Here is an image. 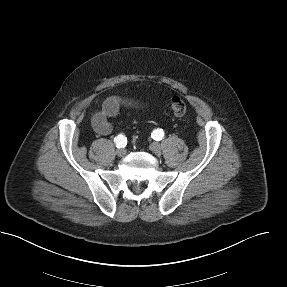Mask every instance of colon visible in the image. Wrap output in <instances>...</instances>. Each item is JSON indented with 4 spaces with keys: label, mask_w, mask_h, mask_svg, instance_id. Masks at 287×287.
Returning a JSON list of instances; mask_svg holds the SVG:
<instances>
[{
    "label": "colon",
    "mask_w": 287,
    "mask_h": 287,
    "mask_svg": "<svg viewBox=\"0 0 287 287\" xmlns=\"http://www.w3.org/2000/svg\"><path fill=\"white\" fill-rule=\"evenodd\" d=\"M169 108L176 116H184L187 112L186 103L178 96H172L167 101Z\"/></svg>",
    "instance_id": "1"
}]
</instances>
